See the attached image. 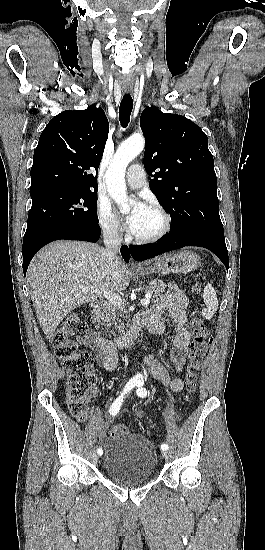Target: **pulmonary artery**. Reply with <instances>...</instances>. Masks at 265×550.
<instances>
[{
	"mask_svg": "<svg viewBox=\"0 0 265 550\" xmlns=\"http://www.w3.org/2000/svg\"><path fill=\"white\" fill-rule=\"evenodd\" d=\"M145 171L142 165L133 164L129 167L126 182L127 185L132 189H139L145 184Z\"/></svg>",
	"mask_w": 265,
	"mask_h": 550,
	"instance_id": "obj_1",
	"label": "pulmonary artery"
}]
</instances>
